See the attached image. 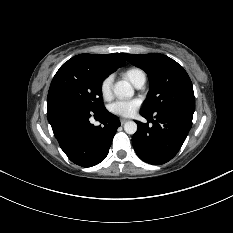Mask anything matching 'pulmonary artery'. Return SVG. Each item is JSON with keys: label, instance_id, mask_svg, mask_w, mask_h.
Masks as SVG:
<instances>
[{"label": "pulmonary artery", "instance_id": "e3ab8cb5", "mask_svg": "<svg viewBox=\"0 0 233 233\" xmlns=\"http://www.w3.org/2000/svg\"><path fill=\"white\" fill-rule=\"evenodd\" d=\"M145 84V81L140 82L136 87L137 88H142Z\"/></svg>", "mask_w": 233, "mask_h": 233}]
</instances>
